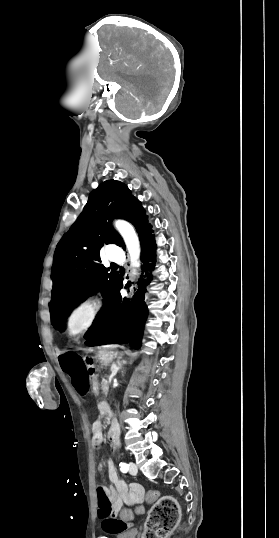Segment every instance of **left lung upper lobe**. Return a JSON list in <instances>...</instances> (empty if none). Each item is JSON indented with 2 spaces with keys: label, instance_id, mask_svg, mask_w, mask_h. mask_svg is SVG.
Instances as JSON below:
<instances>
[{
  "label": "left lung upper lobe",
  "instance_id": "left-lung-upper-lobe-1",
  "mask_svg": "<svg viewBox=\"0 0 279 538\" xmlns=\"http://www.w3.org/2000/svg\"><path fill=\"white\" fill-rule=\"evenodd\" d=\"M124 218L131 222L139 236L150 224L141 203L126 185L108 180L93 190L83 212L57 244L53 261V289L50 312L53 326L63 331V322L70 311L88 296L100 291L104 307L85 336L97 332L115 309L114 294L120 276L100 264L104 244H117L125 249L121 236L111 222Z\"/></svg>",
  "mask_w": 279,
  "mask_h": 538
}]
</instances>
